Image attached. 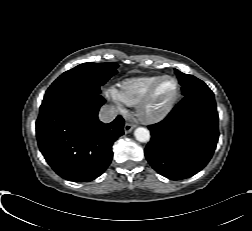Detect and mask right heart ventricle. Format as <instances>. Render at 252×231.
Instances as JSON below:
<instances>
[{"instance_id": "obj_1", "label": "right heart ventricle", "mask_w": 252, "mask_h": 231, "mask_svg": "<svg viewBox=\"0 0 252 231\" xmlns=\"http://www.w3.org/2000/svg\"><path fill=\"white\" fill-rule=\"evenodd\" d=\"M160 77L159 75H144L124 79L118 83L116 95L120 102L126 105H137L151 85Z\"/></svg>"}]
</instances>
